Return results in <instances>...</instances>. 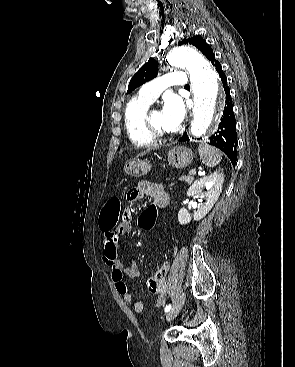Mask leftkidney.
Masks as SVG:
<instances>
[{
    "label": "left kidney",
    "mask_w": 295,
    "mask_h": 367,
    "mask_svg": "<svg viewBox=\"0 0 295 367\" xmlns=\"http://www.w3.org/2000/svg\"><path fill=\"white\" fill-rule=\"evenodd\" d=\"M224 182V175L221 171H216L207 177L196 180L187 191V196L197 195L201 199L197 210L194 212L193 219L195 221L201 220L209 213L213 205L217 202L222 191ZM206 188L207 192H202ZM192 220L189 212L185 208H181L178 212V221L181 225H186Z\"/></svg>",
    "instance_id": "1"
}]
</instances>
